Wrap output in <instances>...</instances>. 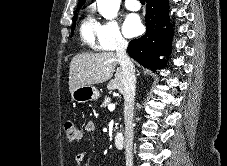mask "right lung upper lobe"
<instances>
[{"label":"right lung upper lobe","mask_w":227,"mask_h":166,"mask_svg":"<svg viewBox=\"0 0 227 166\" xmlns=\"http://www.w3.org/2000/svg\"><path fill=\"white\" fill-rule=\"evenodd\" d=\"M85 3V0H79L78 6H82Z\"/></svg>","instance_id":"obj_1"}]
</instances>
